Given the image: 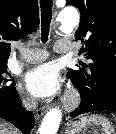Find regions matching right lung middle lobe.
Masks as SVG:
<instances>
[{"label":"right lung middle lobe","instance_id":"1","mask_svg":"<svg viewBox=\"0 0 116 134\" xmlns=\"http://www.w3.org/2000/svg\"><path fill=\"white\" fill-rule=\"evenodd\" d=\"M6 68L7 64L0 65V104L9 103L17 96L15 84L10 83V74Z\"/></svg>","mask_w":116,"mask_h":134}]
</instances>
